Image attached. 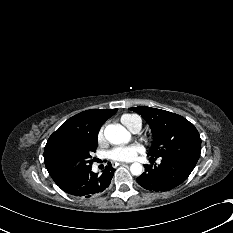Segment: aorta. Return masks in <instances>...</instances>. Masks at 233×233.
Instances as JSON below:
<instances>
[{"label":"aorta","mask_w":233,"mask_h":233,"mask_svg":"<svg viewBox=\"0 0 233 233\" xmlns=\"http://www.w3.org/2000/svg\"><path fill=\"white\" fill-rule=\"evenodd\" d=\"M104 136L109 143L115 145L128 143L131 138L130 133L119 124H110L106 126L104 130ZM142 170L143 166L140 163L136 162L130 166V172L135 176L141 175Z\"/></svg>","instance_id":"762f6f07"}]
</instances>
